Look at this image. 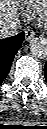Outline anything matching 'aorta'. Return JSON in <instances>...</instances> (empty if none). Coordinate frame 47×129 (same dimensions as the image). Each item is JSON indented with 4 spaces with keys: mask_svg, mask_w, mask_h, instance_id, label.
I'll return each instance as SVG.
<instances>
[{
    "mask_svg": "<svg viewBox=\"0 0 47 129\" xmlns=\"http://www.w3.org/2000/svg\"><path fill=\"white\" fill-rule=\"evenodd\" d=\"M30 51L31 53L39 58L46 59L47 58V40L42 37H36L30 42Z\"/></svg>",
    "mask_w": 47,
    "mask_h": 129,
    "instance_id": "762f6f07",
    "label": "aorta"
}]
</instances>
